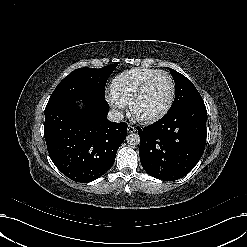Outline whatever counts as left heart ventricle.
<instances>
[{"label":"left heart ventricle","instance_id":"obj_1","mask_svg":"<svg viewBox=\"0 0 247 247\" xmlns=\"http://www.w3.org/2000/svg\"><path fill=\"white\" fill-rule=\"evenodd\" d=\"M171 90L169 79L158 76L144 91L136 103V111L141 115L156 112L166 103Z\"/></svg>","mask_w":247,"mask_h":247}]
</instances>
